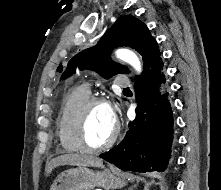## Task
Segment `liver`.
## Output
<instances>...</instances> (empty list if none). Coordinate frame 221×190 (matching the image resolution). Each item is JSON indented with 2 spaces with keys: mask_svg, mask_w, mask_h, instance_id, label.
<instances>
[{
  "mask_svg": "<svg viewBox=\"0 0 221 190\" xmlns=\"http://www.w3.org/2000/svg\"><path fill=\"white\" fill-rule=\"evenodd\" d=\"M103 160L93 155L68 153L57 156L46 165V175L49 176L53 169L58 166L72 165L83 167H101Z\"/></svg>",
  "mask_w": 221,
  "mask_h": 190,
  "instance_id": "obj_1",
  "label": "liver"
}]
</instances>
